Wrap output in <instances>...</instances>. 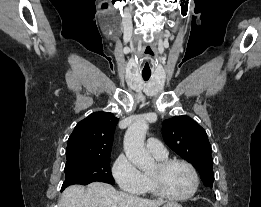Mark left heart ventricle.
<instances>
[{"label": "left heart ventricle", "instance_id": "left-heart-ventricle-1", "mask_svg": "<svg viewBox=\"0 0 261 207\" xmlns=\"http://www.w3.org/2000/svg\"><path fill=\"white\" fill-rule=\"evenodd\" d=\"M150 174L158 175L162 187L169 194L176 196L185 195L192 188V176L189 170L182 164H173L160 173L157 165H155Z\"/></svg>", "mask_w": 261, "mask_h": 207}]
</instances>
